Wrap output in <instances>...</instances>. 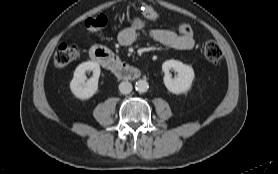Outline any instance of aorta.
<instances>
[{"label":"aorta","instance_id":"obj_1","mask_svg":"<svg viewBox=\"0 0 278 174\" xmlns=\"http://www.w3.org/2000/svg\"><path fill=\"white\" fill-rule=\"evenodd\" d=\"M148 88H149V85H148V82L146 80H138L135 83V89L139 93L146 92L148 90Z\"/></svg>","mask_w":278,"mask_h":174}]
</instances>
